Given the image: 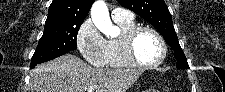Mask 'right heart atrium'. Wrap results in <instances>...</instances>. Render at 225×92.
<instances>
[{
	"instance_id": "obj_1",
	"label": "right heart atrium",
	"mask_w": 225,
	"mask_h": 92,
	"mask_svg": "<svg viewBox=\"0 0 225 92\" xmlns=\"http://www.w3.org/2000/svg\"><path fill=\"white\" fill-rule=\"evenodd\" d=\"M77 47L84 59L94 67L108 64L107 44L92 19H86L76 35Z\"/></svg>"
}]
</instances>
